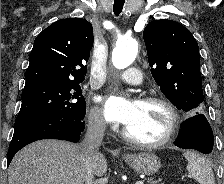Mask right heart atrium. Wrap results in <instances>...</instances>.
Listing matches in <instances>:
<instances>
[{
	"instance_id": "obj_1",
	"label": "right heart atrium",
	"mask_w": 224,
	"mask_h": 184,
	"mask_svg": "<svg viewBox=\"0 0 224 184\" xmlns=\"http://www.w3.org/2000/svg\"><path fill=\"white\" fill-rule=\"evenodd\" d=\"M88 124L96 131H102L105 128V120L98 108H93L89 112Z\"/></svg>"
}]
</instances>
